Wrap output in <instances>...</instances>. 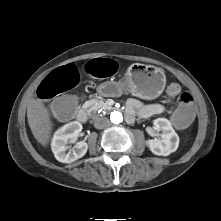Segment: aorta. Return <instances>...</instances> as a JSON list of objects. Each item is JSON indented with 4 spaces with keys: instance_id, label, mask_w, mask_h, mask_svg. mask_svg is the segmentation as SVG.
Returning a JSON list of instances; mask_svg holds the SVG:
<instances>
[{
    "instance_id": "obj_1",
    "label": "aorta",
    "mask_w": 221,
    "mask_h": 221,
    "mask_svg": "<svg viewBox=\"0 0 221 221\" xmlns=\"http://www.w3.org/2000/svg\"><path fill=\"white\" fill-rule=\"evenodd\" d=\"M110 120L114 124H119L123 121V115L119 111H114L110 115Z\"/></svg>"
}]
</instances>
